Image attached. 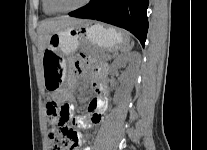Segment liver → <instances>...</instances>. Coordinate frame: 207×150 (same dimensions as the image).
<instances>
[{
	"mask_svg": "<svg viewBox=\"0 0 207 150\" xmlns=\"http://www.w3.org/2000/svg\"><path fill=\"white\" fill-rule=\"evenodd\" d=\"M85 22L88 21L68 16H61L57 18L43 20L38 27L39 49L41 51H44L53 33L63 30L67 27L75 26Z\"/></svg>",
	"mask_w": 207,
	"mask_h": 150,
	"instance_id": "1",
	"label": "liver"
}]
</instances>
